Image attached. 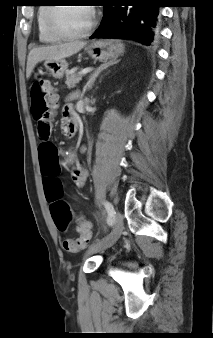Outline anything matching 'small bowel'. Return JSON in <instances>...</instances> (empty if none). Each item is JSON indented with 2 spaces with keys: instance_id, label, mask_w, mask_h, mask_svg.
Here are the masks:
<instances>
[{
  "instance_id": "1",
  "label": "small bowel",
  "mask_w": 213,
  "mask_h": 338,
  "mask_svg": "<svg viewBox=\"0 0 213 338\" xmlns=\"http://www.w3.org/2000/svg\"><path fill=\"white\" fill-rule=\"evenodd\" d=\"M73 98H74V95L70 97V99H73ZM72 114H73V106L71 103H67L63 108V116L65 119L66 125L69 123L70 119L72 118ZM43 121L50 123V119H43ZM64 132L66 135H71L68 132H66V126L64 127ZM43 144H50V142L48 140H44L42 141L41 146ZM60 168H61V165L57 159L56 151H53L49 156H46L40 150V171L43 177L45 198H46L47 203L49 204L51 216H52V207L55 204L62 202V200H60L59 198V195L62 192V186H63L61 176L59 173ZM71 174H72L75 185L77 187H82L86 180L85 170L74 168ZM55 224L60 231L64 232V231H67L68 229L69 221L64 226H59L56 222Z\"/></svg>"
}]
</instances>
